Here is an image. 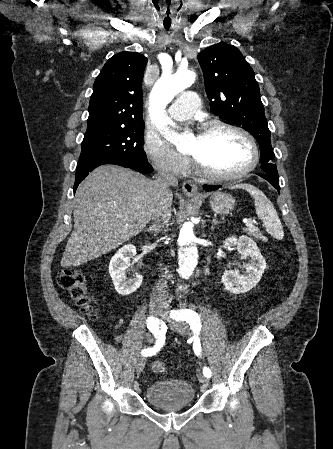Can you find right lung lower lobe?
<instances>
[{
    "label": "right lung lower lobe",
    "instance_id": "obj_1",
    "mask_svg": "<svg viewBox=\"0 0 333 449\" xmlns=\"http://www.w3.org/2000/svg\"><path fill=\"white\" fill-rule=\"evenodd\" d=\"M104 164H114L128 167L143 174H149L153 172V167L149 164V162H129L118 158H96L79 160L75 176L74 193L79 183L89 174V172H91L96 167Z\"/></svg>",
    "mask_w": 333,
    "mask_h": 449
}]
</instances>
